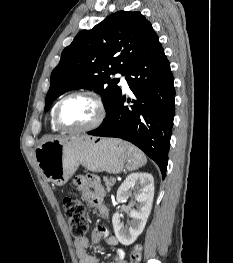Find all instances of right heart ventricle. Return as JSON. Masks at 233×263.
I'll use <instances>...</instances> for the list:
<instances>
[{
  "mask_svg": "<svg viewBox=\"0 0 233 263\" xmlns=\"http://www.w3.org/2000/svg\"><path fill=\"white\" fill-rule=\"evenodd\" d=\"M57 103L52 107L51 112H50V127L53 131L59 130V128L54 123V112H55V107H56Z\"/></svg>",
  "mask_w": 233,
  "mask_h": 263,
  "instance_id": "obj_1",
  "label": "right heart ventricle"
}]
</instances>
